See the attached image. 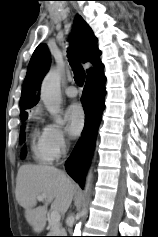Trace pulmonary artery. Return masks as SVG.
I'll return each mask as SVG.
<instances>
[{"label":"pulmonary artery","instance_id":"1","mask_svg":"<svg viewBox=\"0 0 158 237\" xmlns=\"http://www.w3.org/2000/svg\"><path fill=\"white\" fill-rule=\"evenodd\" d=\"M65 94L67 97L74 98L77 96V90L75 89V87L70 86L65 90Z\"/></svg>","mask_w":158,"mask_h":237}]
</instances>
